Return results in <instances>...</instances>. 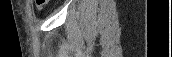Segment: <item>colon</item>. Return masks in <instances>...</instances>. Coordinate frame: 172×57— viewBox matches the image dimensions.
<instances>
[{
	"label": "colon",
	"mask_w": 172,
	"mask_h": 57,
	"mask_svg": "<svg viewBox=\"0 0 172 57\" xmlns=\"http://www.w3.org/2000/svg\"><path fill=\"white\" fill-rule=\"evenodd\" d=\"M37 6L39 9H42L43 6L47 3V0H36Z\"/></svg>",
	"instance_id": "5ec220e1"
}]
</instances>
